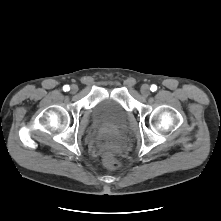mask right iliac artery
Listing matches in <instances>:
<instances>
[{
	"mask_svg": "<svg viewBox=\"0 0 221 221\" xmlns=\"http://www.w3.org/2000/svg\"><path fill=\"white\" fill-rule=\"evenodd\" d=\"M63 90L66 92V91H69L70 90V87L68 86V85H65L64 87H63Z\"/></svg>",
	"mask_w": 221,
	"mask_h": 221,
	"instance_id": "82829eb1",
	"label": "right iliac artery"
}]
</instances>
